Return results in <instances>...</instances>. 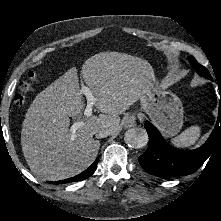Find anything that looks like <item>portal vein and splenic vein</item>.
Wrapping results in <instances>:
<instances>
[{
	"mask_svg": "<svg viewBox=\"0 0 221 221\" xmlns=\"http://www.w3.org/2000/svg\"><path fill=\"white\" fill-rule=\"evenodd\" d=\"M81 94H84L87 100V106L84 110V116L90 117L92 115L93 106L95 105L97 98L94 97L91 90L87 86H83L81 91ZM84 125L83 121L75 122L71 127L70 130L72 133H75L79 128H81Z\"/></svg>",
	"mask_w": 221,
	"mask_h": 221,
	"instance_id": "portal-vein-and-splenic-vein-1",
	"label": "portal vein and splenic vein"
}]
</instances>
